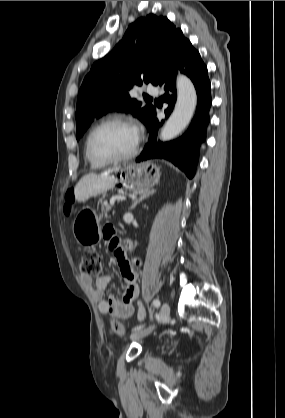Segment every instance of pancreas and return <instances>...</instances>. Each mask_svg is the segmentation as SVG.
Listing matches in <instances>:
<instances>
[{
  "label": "pancreas",
  "instance_id": "cf45deb5",
  "mask_svg": "<svg viewBox=\"0 0 285 418\" xmlns=\"http://www.w3.org/2000/svg\"><path fill=\"white\" fill-rule=\"evenodd\" d=\"M101 210H102V213L100 214V217H103V216L107 217V211L109 210V205L106 204L105 202L102 203Z\"/></svg>",
  "mask_w": 285,
  "mask_h": 418
}]
</instances>
